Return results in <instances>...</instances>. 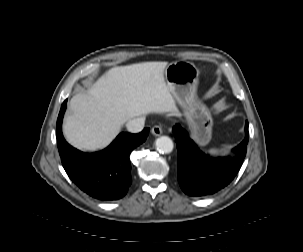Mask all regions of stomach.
I'll list each match as a JSON object with an SVG mask.
<instances>
[{
  "instance_id": "0dacf381",
  "label": "stomach",
  "mask_w": 303,
  "mask_h": 252,
  "mask_svg": "<svg viewBox=\"0 0 303 252\" xmlns=\"http://www.w3.org/2000/svg\"><path fill=\"white\" fill-rule=\"evenodd\" d=\"M167 86L184 109L192 138L200 145L211 139L212 118L209 110L197 100L198 68L190 62L175 61L164 70Z\"/></svg>"
}]
</instances>
